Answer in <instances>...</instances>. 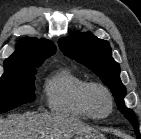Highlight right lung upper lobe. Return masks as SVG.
Returning <instances> with one entry per match:
<instances>
[{
	"instance_id": "right-lung-upper-lobe-1",
	"label": "right lung upper lobe",
	"mask_w": 141,
	"mask_h": 139,
	"mask_svg": "<svg viewBox=\"0 0 141 139\" xmlns=\"http://www.w3.org/2000/svg\"><path fill=\"white\" fill-rule=\"evenodd\" d=\"M55 51V45L46 39H22L16 51L4 61V69L41 65Z\"/></svg>"
}]
</instances>
